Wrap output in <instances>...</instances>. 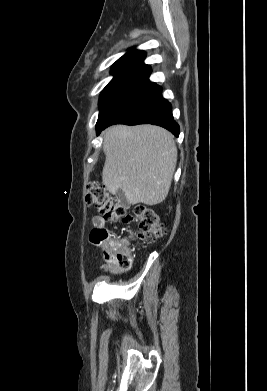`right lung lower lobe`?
I'll return each mask as SVG.
<instances>
[{"instance_id":"right-lung-lower-lobe-1","label":"right lung lower lobe","mask_w":267,"mask_h":391,"mask_svg":"<svg viewBox=\"0 0 267 391\" xmlns=\"http://www.w3.org/2000/svg\"><path fill=\"white\" fill-rule=\"evenodd\" d=\"M161 87L149 83L128 101L120 106L102 125L97 134L112 124H153L161 126L176 137L179 136V125L174 121L171 104L161 95Z\"/></svg>"}]
</instances>
